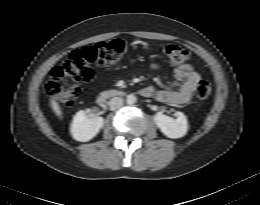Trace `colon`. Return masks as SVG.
I'll use <instances>...</instances> for the list:
<instances>
[{"instance_id": "1", "label": "colon", "mask_w": 260, "mask_h": 205, "mask_svg": "<svg viewBox=\"0 0 260 205\" xmlns=\"http://www.w3.org/2000/svg\"><path fill=\"white\" fill-rule=\"evenodd\" d=\"M127 52V46L120 40L100 42L73 51L65 62L52 70L46 84L47 95L57 102L75 105L81 94L80 85L94 77L92 66L115 65ZM165 54L173 64H182L189 58V52L176 44L166 46ZM210 91V84L201 79L194 89L196 97L201 100L208 98Z\"/></svg>"}]
</instances>
